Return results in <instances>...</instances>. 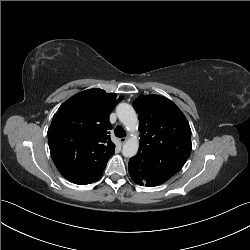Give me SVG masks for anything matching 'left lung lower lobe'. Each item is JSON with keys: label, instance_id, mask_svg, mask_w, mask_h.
Returning <instances> with one entry per match:
<instances>
[{"label": "left lung lower lobe", "instance_id": "1", "mask_svg": "<svg viewBox=\"0 0 250 250\" xmlns=\"http://www.w3.org/2000/svg\"><path fill=\"white\" fill-rule=\"evenodd\" d=\"M128 170L134 182L148 187L162 184L178 171L171 166L154 164L142 152L129 160Z\"/></svg>", "mask_w": 250, "mask_h": 250}]
</instances>
